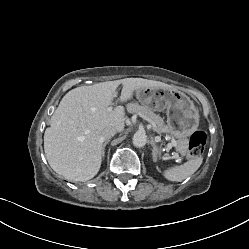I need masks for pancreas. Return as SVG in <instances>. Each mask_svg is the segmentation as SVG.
Returning a JSON list of instances; mask_svg holds the SVG:
<instances>
[{
    "label": "pancreas",
    "instance_id": "pancreas-1",
    "mask_svg": "<svg viewBox=\"0 0 249 249\" xmlns=\"http://www.w3.org/2000/svg\"><path fill=\"white\" fill-rule=\"evenodd\" d=\"M127 110L129 113H134L138 115L141 114L147 119H149L151 124L153 125V130H155L157 133H171L170 128L164 124L163 118H161L159 115H156L149 108L145 106H140L137 103H129L127 105ZM176 148L180 152L185 153L187 149V139H179Z\"/></svg>",
    "mask_w": 249,
    "mask_h": 249
}]
</instances>
